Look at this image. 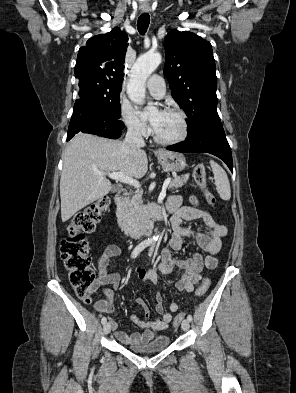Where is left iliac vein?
<instances>
[{
	"label": "left iliac vein",
	"mask_w": 296,
	"mask_h": 393,
	"mask_svg": "<svg viewBox=\"0 0 296 393\" xmlns=\"http://www.w3.org/2000/svg\"><path fill=\"white\" fill-rule=\"evenodd\" d=\"M181 327L184 331H188L190 327V321L188 319H184L181 324Z\"/></svg>",
	"instance_id": "1"
}]
</instances>
